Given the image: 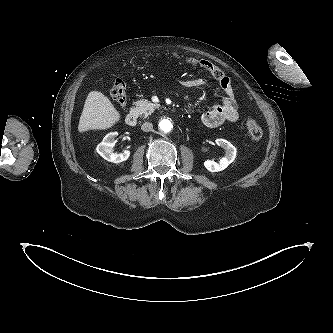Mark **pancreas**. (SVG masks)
<instances>
[{"instance_id":"cf45deb5","label":"pancreas","mask_w":333,"mask_h":333,"mask_svg":"<svg viewBox=\"0 0 333 333\" xmlns=\"http://www.w3.org/2000/svg\"><path fill=\"white\" fill-rule=\"evenodd\" d=\"M136 111L142 117L146 118L148 115L152 114L156 108L159 107L158 104H153L146 99L138 100L135 102Z\"/></svg>"}]
</instances>
